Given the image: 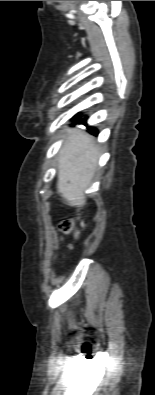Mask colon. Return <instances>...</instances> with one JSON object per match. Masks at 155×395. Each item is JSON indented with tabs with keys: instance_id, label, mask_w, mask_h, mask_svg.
Segmentation results:
<instances>
[{
	"instance_id": "1",
	"label": "colon",
	"mask_w": 155,
	"mask_h": 395,
	"mask_svg": "<svg viewBox=\"0 0 155 395\" xmlns=\"http://www.w3.org/2000/svg\"><path fill=\"white\" fill-rule=\"evenodd\" d=\"M61 231L65 235H78V231L75 227V223L72 220H65L61 223Z\"/></svg>"
}]
</instances>
